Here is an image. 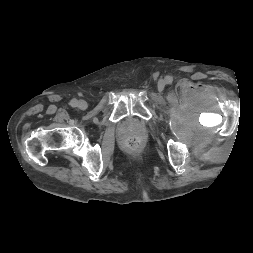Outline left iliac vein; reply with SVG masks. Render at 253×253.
<instances>
[{
  "instance_id": "4c4485c4",
  "label": "left iliac vein",
  "mask_w": 253,
  "mask_h": 253,
  "mask_svg": "<svg viewBox=\"0 0 253 253\" xmlns=\"http://www.w3.org/2000/svg\"><path fill=\"white\" fill-rule=\"evenodd\" d=\"M164 87H165L164 81H159V83H158V89H159L160 91H162V90L164 89Z\"/></svg>"
}]
</instances>
